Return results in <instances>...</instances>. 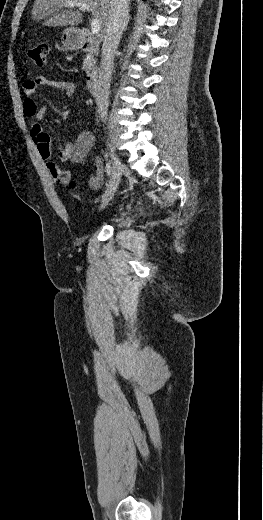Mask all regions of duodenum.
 <instances>
[{"mask_svg": "<svg viewBox=\"0 0 263 520\" xmlns=\"http://www.w3.org/2000/svg\"><path fill=\"white\" fill-rule=\"evenodd\" d=\"M80 44L81 49L91 55H94L97 51L96 43L88 31H83L81 33ZM85 80L89 93L91 95H96L99 82V71L96 66L89 68Z\"/></svg>", "mask_w": 263, "mask_h": 520, "instance_id": "410a0bca", "label": "duodenum"}]
</instances>
